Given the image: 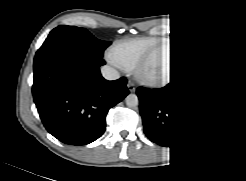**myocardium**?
<instances>
[{"label":"myocardium","instance_id":"obj_1","mask_svg":"<svg viewBox=\"0 0 246 181\" xmlns=\"http://www.w3.org/2000/svg\"><path fill=\"white\" fill-rule=\"evenodd\" d=\"M165 47V45H160L158 47H156L151 53H149L147 56H145L140 62H139V69L141 71H143L144 74H147L151 64L153 63V61L156 59V57L160 54V52L162 51V49ZM181 60V53H179V57L177 62L175 63V65L170 69V71L168 72L167 76L165 77V79H170L173 74L175 73V71L177 70L179 63Z\"/></svg>","mask_w":246,"mask_h":181}]
</instances>
